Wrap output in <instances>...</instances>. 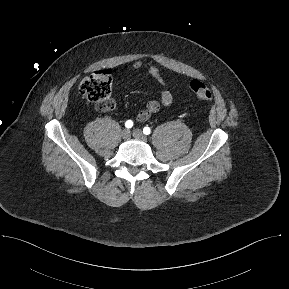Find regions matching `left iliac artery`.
Listing matches in <instances>:
<instances>
[{"label":"left iliac artery","instance_id":"44dca946","mask_svg":"<svg viewBox=\"0 0 289 289\" xmlns=\"http://www.w3.org/2000/svg\"><path fill=\"white\" fill-rule=\"evenodd\" d=\"M143 133H144L145 135H149V134L151 133V129H150L149 127H144Z\"/></svg>","mask_w":289,"mask_h":289}]
</instances>
